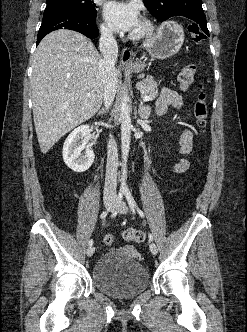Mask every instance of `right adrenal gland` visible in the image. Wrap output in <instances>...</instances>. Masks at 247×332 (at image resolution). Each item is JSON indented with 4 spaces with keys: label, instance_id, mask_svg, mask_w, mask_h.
<instances>
[{
    "label": "right adrenal gland",
    "instance_id": "obj_1",
    "mask_svg": "<svg viewBox=\"0 0 247 332\" xmlns=\"http://www.w3.org/2000/svg\"><path fill=\"white\" fill-rule=\"evenodd\" d=\"M106 113V110L104 108H102L99 112L98 115H103Z\"/></svg>",
    "mask_w": 247,
    "mask_h": 332
}]
</instances>
